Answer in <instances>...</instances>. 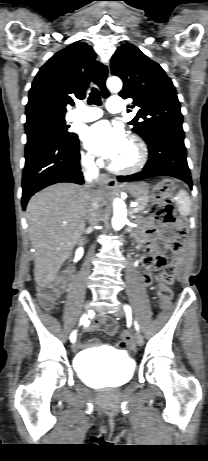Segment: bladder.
I'll return each instance as SVG.
<instances>
[{"mask_svg": "<svg viewBox=\"0 0 208 461\" xmlns=\"http://www.w3.org/2000/svg\"><path fill=\"white\" fill-rule=\"evenodd\" d=\"M75 371L93 387L117 388L132 378L134 361L121 353L84 352L75 361Z\"/></svg>", "mask_w": 208, "mask_h": 461, "instance_id": "1", "label": "bladder"}]
</instances>
